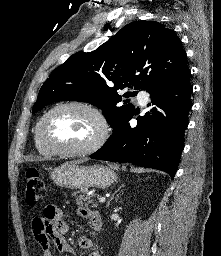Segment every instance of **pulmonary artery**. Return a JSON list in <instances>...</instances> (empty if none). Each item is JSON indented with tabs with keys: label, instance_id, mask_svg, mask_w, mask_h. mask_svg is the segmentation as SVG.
<instances>
[{
	"label": "pulmonary artery",
	"instance_id": "e3ab8cb5",
	"mask_svg": "<svg viewBox=\"0 0 221 256\" xmlns=\"http://www.w3.org/2000/svg\"><path fill=\"white\" fill-rule=\"evenodd\" d=\"M149 99V95L145 91H140L137 95V100L139 101L140 104L144 105L147 103Z\"/></svg>",
	"mask_w": 221,
	"mask_h": 256
}]
</instances>
